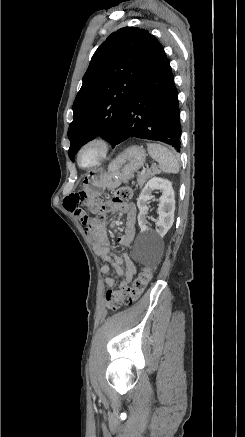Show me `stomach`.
Segmentation results:
<instances>
[{"instance_id": "stomach-1", "label": "stomach", "mask_w": 245, "mask_h": 437, "mask_svg": "<svg viewBox=\"0 0 245 437\" xmlns=\"http://www.w3.org/2000/svg\"><path fill=\"white\" fill-rule=\"evenodd\" d=\"M146 158L142 146H130L121 153L108 167L107 172L94 170L83 179V185L95 191L114 189L130 180L134 173L144 165Z\"/></svg>"}]
</instances>
